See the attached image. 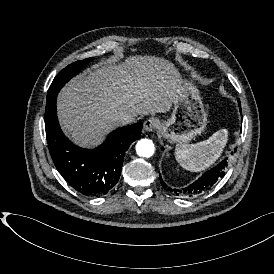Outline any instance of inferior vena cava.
<instances>
[{"label":"inferior vena cava","mask_w":274,"mask_h":274,"mask_svg":"<svg viewBox=\"0 0 274 274\" xmlns=\"http://www.w3.org/2000/svg\"><path fill=\"white\" fill-rule=\"evenodd\" d=\"M136 120L135 116L131 113H123L119 118L120 126L134 123Z\"/></svg>","instance_id":"obj_1"}]
</instances>
